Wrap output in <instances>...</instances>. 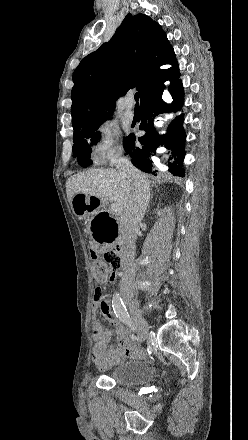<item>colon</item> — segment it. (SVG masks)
I'll return each mask as SVG.
<instances>
[{"instance_id": "colon-1", "label": "colon", "mask_w": 248, "mask_h": 440, "mask_svg": "<svg viewBox=\"0 0 248 440\" xmlns=\"http://www.w3.org/2000/svg\"><path fill=\"white\" fill-rule=\"evenodd\" d=\"M92 256V270L94 278L97 282H105L111 275L113 267H120V258L112 249H95L91 251ZM104 296L102 289L97 287L95 289V299H102Z\"/></svg>"}]
</instances>
